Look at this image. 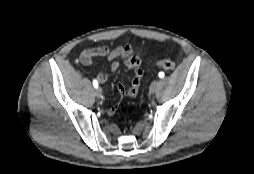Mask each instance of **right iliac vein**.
<instances>
[{
  "instance_id": "63e3f726",
  "label": "right iliac vein",
  "mask_w": 254,
  "mask_h": 174,
  "mask_svg": "<svg viewBox=\"0 0 254 174\" xmlns=\"http://www.w3.org/2000/svg\"><path fill=\"white\" fill-rule=\"evenodd\" d=\"M95 95H96V97L97 98H102V90H101V88H97L96 90H95Z\"/></svg>"
}]
</instances>
